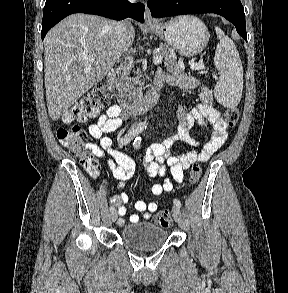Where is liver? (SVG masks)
<instances>
[{"instance_id":"obj_1","label":"liver","mask_w":288,"mask_h":293,"mask_svg":"<svg viewBox=\"0 0 288 293\" xmlns=\"http://www.w3.org/2000/svg\"><path fill=\"white\" fill-rule=\"evenodd\" d=\"M117 22L77 13L53 27L44 40V73L48 112L56 121L84 93L99 83L132 45L130 21L118 38ZM83 55L93 56L85 60Z\"/></svg>"}]
</instances>
